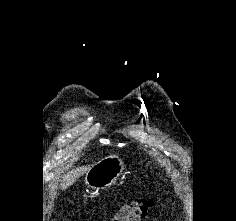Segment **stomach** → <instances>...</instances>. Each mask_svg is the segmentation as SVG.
<instances>
[{"label": "stomach", "instance_id": "obj_1", "mask_svg": "<svg viewBox=\"0 0 236 221\" xmlns=\"http://www.w3.org/2000/svg\"><path fill=\"white\" fill-rule=\"evenodd\" d=\"M125 166L118 155H109L94 164L85 175V183L93 190L107 189L121 176Z\"/></svg>", "mask_w": 236, "mask_h": 221}]
</instances>
